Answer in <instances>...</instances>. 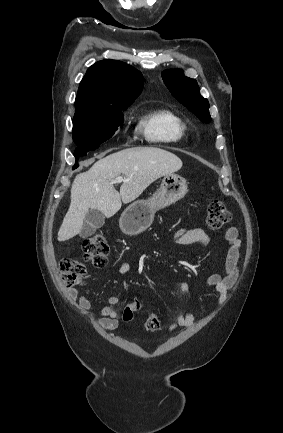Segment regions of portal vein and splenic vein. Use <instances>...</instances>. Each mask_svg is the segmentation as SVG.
I'll use <instances>...</instances> for the list:
<instances>
[{"instance_id":"18ae733b","label":"portal vein and splenic vein","mask_w":283,"mask_h":433,"mask_svg":"<svg viewBox=\"0 0 283 433\" xmlns=\"http://www.w3.org/2000/svg\"><path fill=\"white\" fill-rule=\"evenodd\" d=\"M125 180L124 176H116L115 180H112V182H123Z\"/></svg>"}]
</instances>
